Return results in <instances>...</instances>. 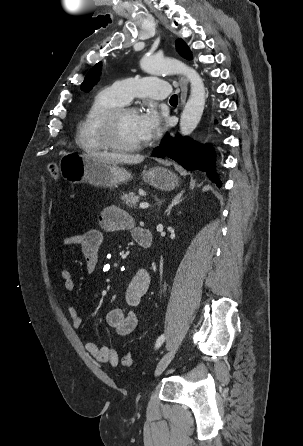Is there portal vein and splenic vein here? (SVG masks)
Here are the masks:
<instances>
[{"instance_id":"1","label":"portal vein and splenic vein","mask_w":303,"mask_h":446,"mask_svg":"<svg viewBox=\"0 0 303 446\" xmlns=\"http://www.w3.org/2000/svg\"><path fill=\"white\" fill-rule=\"evenodd\" d=\"M139 207L141 209H147L149 207V204L147 202H142V203H140Z\"/></svg>"}]
</instances>
